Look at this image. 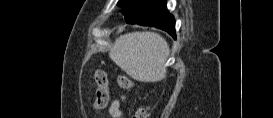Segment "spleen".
<instances>
[{
	"label": "spleen",
	"instance_id": "3e777b00",
	"mask_svg": "<svg viewBox=\"0 0 273 118\" xmlns=\"http://www.w3.org/2000/svg\"><path fill=\"white\" fill-rule=\"evenodd\" d=\"M169 52L166 40L159 34L133 32L116 39L109 57L133 79L156 82L166 76Z\"/></svg>",
	"mask_w": 273,
	"mask_h": 118
}]
</instances>
